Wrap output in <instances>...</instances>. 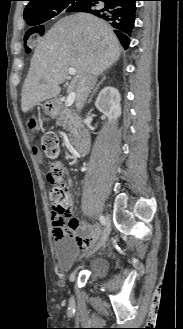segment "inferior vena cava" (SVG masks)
Instances as JSON below:
<instances>
[{
  "label": "inferior vena cava",
  "mask_w": 183,
  "mask_h": 329,
  "mask_svg": "<svg viewBox=\"0 0 183 329\" xmlns=\"http://www.w3.org/2000/svg\"><path fill=\"white\" fill-rule=\"evenodd\" d=\"M94 87V80L92 76L87 75L85 78H83L81 87L77 93L76 97V108L77 111H80L86 102V99L91 92V89Z\"/></svg>",
  "instance_id": "602c4592"
}]
</instances>
